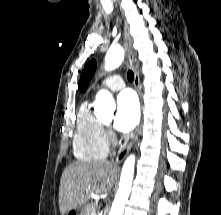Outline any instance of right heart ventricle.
<instances>
[{
    "label": "right heart ventricle",
    "mask_w": 221,
    "mask_h": 215,
    "mask_svg": "<svg viewBox=\"0 0 221 215\" xmlns=\"http://www.w3.org/2000/svg\"><path fill=\"white\" fill-rule=\"evenodd\" d=\"M72 146L75 158L84 162L101 160L108 153L103 124L87 101L78 110Z\"/></svg>",
    "instance_id": "1"
}]
</instances>
